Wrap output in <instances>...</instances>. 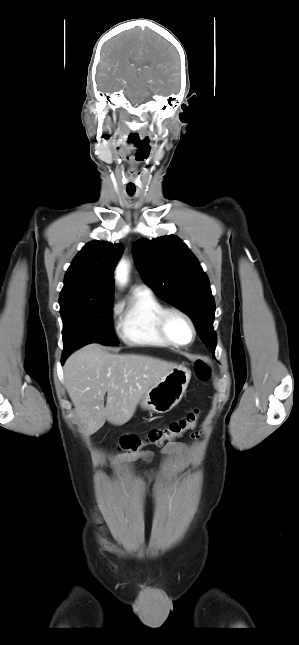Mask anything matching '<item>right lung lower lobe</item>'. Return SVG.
Wrapping results in <instances>:
<instances>
[{"label":"right lung lower lobe","mask_w":299,"mask_h":645,"mask_svg":"<svg viewBox=\"0 0 299 645\" xmlns=\"http://www.w3.org/2000/svg\"><path fill=\"white\" fill-rule=\"evenodd\" d=\"M65 359H66V358H65ZM65 359H64V358H62V364L64 363Z\"/></svg>","instance_id":"1"}]
</instances>
